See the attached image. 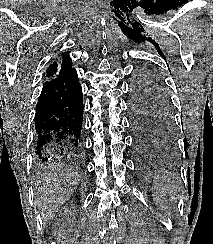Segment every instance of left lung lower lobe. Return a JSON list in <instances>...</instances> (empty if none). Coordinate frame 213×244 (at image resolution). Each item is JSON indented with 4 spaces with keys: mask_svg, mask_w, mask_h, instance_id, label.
Returning a JSON list of instances; mask_svg holds the SVG:
<instances>
[{
    "mask_svg": "<svg viewBox=\"0 0 213 244\" xmlns=\"http://www.w3.org/2000/svg\"><path fill=\"white\" fill-rule=\"evenodd\" d=\"M131 124L135 149L141 156L153 157L163 150L165 140L158 136L149 122L131 113Z\"/></svg>",
    "mask_w": 213,
    "mask_h": 244,
    "instance_id": "obj_1",
    "label": "left lung lower lobe"
}]
</instances>
